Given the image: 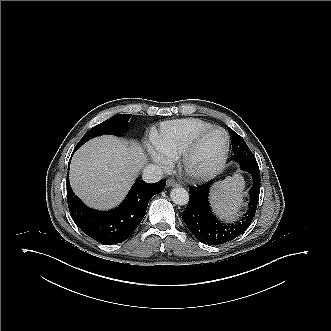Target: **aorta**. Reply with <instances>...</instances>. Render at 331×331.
I'll return each mask as SVG.
<instances>
[{
    "label": "aorta",
    "instance_id": "aorta-1",
    "mask_svg": "<svg viewBox=\"0 0 331 331\" xmlns=\"http://www.w3.org/2000/svg\"><path fill=\"white\" fill-rule=\"evenodd\" d=\"M170 196L172 201L180 206L187 205L189 202V193L182 187H175L171 190Z\"/></svg>",
    "mask_w": 331,
    "mask_h": 331
}]
</instances>
